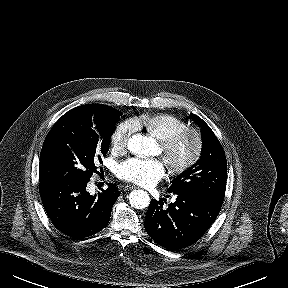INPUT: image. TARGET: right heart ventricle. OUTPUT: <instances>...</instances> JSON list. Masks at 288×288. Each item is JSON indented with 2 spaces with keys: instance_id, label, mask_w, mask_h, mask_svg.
<instances>
[{
  "instance_id": "e07e8e85",
  "label": "right heart ventricle",
  "mask_w": 288,
  "mask_h": 288,
  "mask_svg": "<svg viewBox=\"0 0 288 288\" xmlns=\"http://www.w3.org/2000/svg\"><path fill=\"white\" fill-rule=\"evenodd\" d=\"M133 124L136 128L145 129L159 140L187 126L183 119L169 113L142 115L134 119Z\"/></svg>"
}]
</instances>
